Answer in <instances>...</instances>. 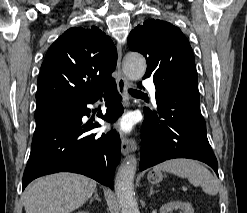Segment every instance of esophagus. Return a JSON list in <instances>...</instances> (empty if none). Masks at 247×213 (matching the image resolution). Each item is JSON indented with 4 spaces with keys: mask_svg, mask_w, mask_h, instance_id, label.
Instances as JSON below:
<instances>
[{
    "mask_svg": "<svg viewBox=\"0 0 247 213\" xmlns=\"http://www.w3.org/2000/svg\"><path fill=\"white\" fill-rule=\"evenodd\" d=\"M117 72H118V78H117V87L120 95L123 98V101L125 102L126 106H129V95H128V88L131 87L130 82L127 80V78L123 75L121 70V59H122V48L120 45H117ZM137 143L134 139L128 138L124 136L121 141V151L123 155H127L130 152H133L136 150Z\"/></svg>",
    "mask_w": 247,
    "mask_h": 213,
    "instance_id": "1",
    "label": "esophagus"
}]
</instances>
